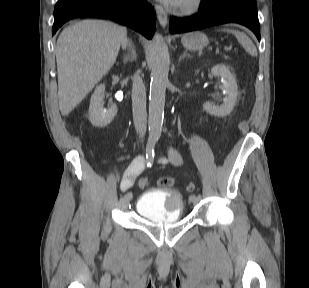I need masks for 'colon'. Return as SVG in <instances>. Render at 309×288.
<instances>
[{
    "label": "colon",
    "mask_w": 309,
    "mask_h": 288,
    "mask_svg": "<svg viewBox=\"0 0 309 288\" xmlns=\"http://www.w3.org/2000/svg\"><path fill=\"white\" fill-rule=\"evenodd\" d=\"M176 183V180L173 178V177H161L159 180H158V184L163 187V188H168V187H171L173 186L174 184ZM138 185L140 187H145L148 185V179L146 177H142L138 180ZM186 190L189 192V193H192L194 190H195V184L194 182L192 181H189L187 184H186Z\"/></svg>",
    "instance_id": "colon-1"
}]
</instances>
